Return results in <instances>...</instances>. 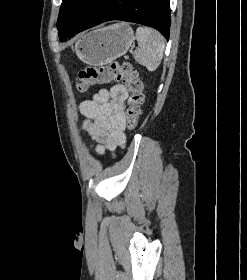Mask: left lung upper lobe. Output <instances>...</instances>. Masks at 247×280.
Returning <instances> with one entry per match:
<instances>
[{
	"label": "left lung upper lobe",
	"mask_w": 247,
	"mask_h": 280,
	"mask_svg": "<svg viewBox=\"0 0 247 280\" xmlns=\"http://www.w3.org/2000/svg\"><path fill=\"white\" fill-rule=\"evenodd\" d=\"M102 0H63L57 21L60 41L63 36L77 29L88 14Z\"/></svg>",
	"instance_id": "5c2ea615"
}]
</instances>
